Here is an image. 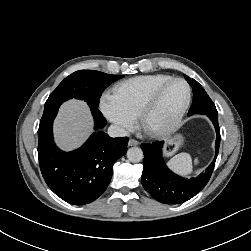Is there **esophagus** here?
I'll use <instances>...</instances> for the list:
<instances>
[{
    "label": "esophagus",
    "instance_id": "1",
    "mask_svg": "<svg viewBox=\"0 0 251 251\" xmlns=\"http://www.w3.org/2000/svg\"><path fill=\"white\" fill-rule=\"evenodd\" d=\"M139 144V142L135 139H130L128 142L129 146H137Z\"/></svg>",
    "mask_w": 251,
    "mask_h": 251
}]
</instances>
